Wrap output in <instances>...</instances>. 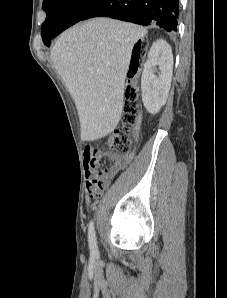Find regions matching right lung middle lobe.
Segmentation results:
<instances>
[{"instance_id": "obj_1", "label": "right lung middle lobe", "mask_w": 227, "mask_h": 298, "mask_svg": "<svg viewBox=\"0 0 227 298\" xmlns=\"http://www.w3.org/2000/svg\"><path fill=\"white\" fill-rule=\"evenodd\" d=\"M100 0H43L46 20L42 24L43 42L49 46L50 39L58 30H65L79 22ZM51 23V24H50Z\"/></svg>"}]
</instances>
